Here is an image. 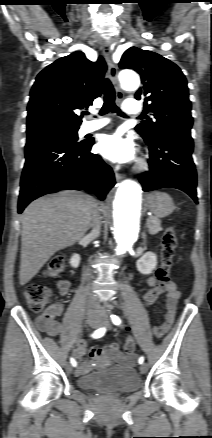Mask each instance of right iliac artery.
Returning a JSON list of instances; mask_svg holds the SVG:
<instances>
[{"mask_svg":"<svg viewBox=\"0 0 212 438\" xmlns=\"http://www.w3.org/2000/svg\"><path fill=\"white\" fill-rule=\"evenodd\" d=\"M106 332V329L104 327L99 328L97 330L94 331V333L92 334L93 338H100L102 337ZM70 363L72 364V366L76 367L77 366V362L75 361V359L70 358Z\"/></svg>","mask_w":212,"mask_h":438,"instance_id":"1","label":"right iliac artery"}]
</instances>
